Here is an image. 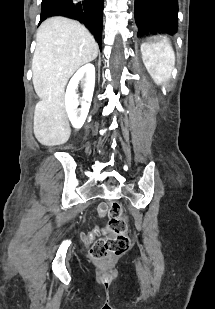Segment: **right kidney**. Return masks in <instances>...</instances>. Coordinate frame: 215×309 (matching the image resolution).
Instances as JSON below:
<instances>
[{"mask_svg":"<svg viewBox=\"0 0 215 309\" xmlns=\"http://www.w3.org/2000/svg\"><path fill=\"white\" fill-rule=\"evenodd\" d=\"M86 76L85 88L83 90L84 98L83 102H81V108H77L79 104L78 94H76V88L79 84V80ZM95 84V66L94 64H84L81 66L77 72H75L74 76H72L66 90L65 94V106L67 110V114L75 128H81L82 124H84L86 120V116L89 112L90 102L93 96ZM78 110H80V116H77Z\"/></svg>","mask_w":215,"mask_h":309,"instance_id":"obj_1","label":"right kidney"}]
</instances>
